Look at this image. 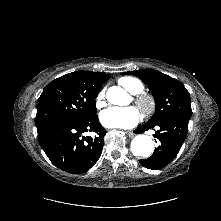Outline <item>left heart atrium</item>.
<instances>
[{
	"label": "left heart atrium",
	"mask_w": 221,
	"mask_h": 221,
	"mask_svg": "<svg viewBox=\"0 0 221 221\" xmlns=\"http://www.w3.org/2000/svg\"><path fill=\"white\" fill-rule=\"evenodd\" d=\"M100 122L106 128L127 129L140 120V113L135 107H110L100 114Z\"/></svg>",
	"instance_id": "left-heart-atrium-1"
}]
</instances>
